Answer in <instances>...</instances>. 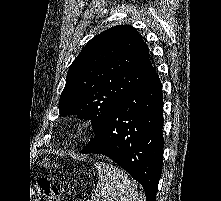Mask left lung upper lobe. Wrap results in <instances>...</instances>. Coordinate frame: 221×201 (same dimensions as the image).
<instances>
[{"label":"left lung upper lobe","mask_w":221,"mask_h":201,"mask_svg":"<svg viewBox=\"0 0 221 201\" xmlns=\"http://www.w3.org/2000/svg\"><path fill=\"white\" fill-rule=\"evenodd\" d=\"M155 70L135 28L118 25L91 39L71 64L59 113L91 120L96 133L113 108Z\"/></svg>","instance_id":"1"}]
</instances>
